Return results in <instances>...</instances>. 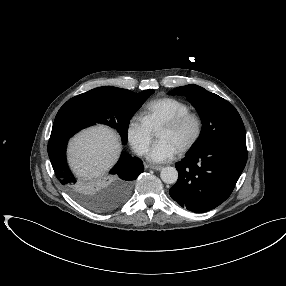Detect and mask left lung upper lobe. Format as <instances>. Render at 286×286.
I'll use <instances>...</instances> for the list:
<instances>
[{
	"mask_svg": "<svg viewBox=\"0 0 286 286\" xmlns=\"http://www.w3.org/2000/svg\"><path fill=\"white\" fill-rule=\"evenodd\" d=\"M169 94L186 96L201 117L202 132L192 151L220 142L246 144L242 119L225 99L197 85L181 86Z\"/></svg>",
	"mask_w": 286,
	"mask_h": 286,
	"instance_id": "obj_1",
	"label": "left lung upper lobe"
}]
</instances>
